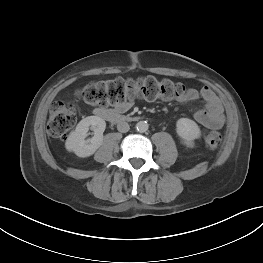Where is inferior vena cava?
<instances>
[{
    "instance_id": "inferior-vena-cava-1",
    "label": "inferior vena cava",
    "mask_w": 263,
    "mask_h": 263,
    "mask_svg": "<svg viewBox=\"0 0 263 263\" xmlns=\"http://www.w3.org/2000/svg\"><path fill=\"white\" fill-rule=\"evenodd\" d=\"M130 129L129 124L125 121H121L117 124V130L122 133L128 132Z\"/></svg>"
}]
</instances>
